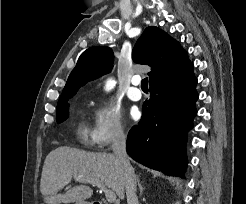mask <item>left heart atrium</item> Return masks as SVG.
I'll return each mask as SVG.
<instances>
[{"label": "left heart atrium", "mask_w": 246, "mask_h": 204, "mask_svg": "<svg viewBox=\"0 0 246 204\" xmlns=\"http://www.w3.org/2000/svg\"><path fill=\"white\" fill-rule=\"evenodd\" d=\"M131 117L133 119H137L139 117V111L137 109H134L131 111Z\"/></svg>", "instance_id": "obj_1"}]
</instances>
